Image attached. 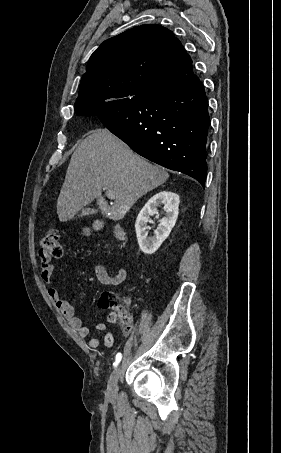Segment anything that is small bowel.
Segmentation results:
<instances>
[{"label": "small bowel", "mask_w": 281, "mask_h": 453, "mask_svg": "<svg viewBox=\"0 0 281 453\" xmlns=\"http://www.w3.org/2000/svg\"><path fill=\"white\" fill-rule=\"evenodd\" d=\"M92 270L97 280L104 285L118 286L124 283L127 278V270L125 268H120L115 273H109L103 266L94 264L92 265ZM40 271L41 278L47 288L48 296L55 303L57 309L68 320L71 327L78 332L81 338L88 339L89 348L97 349L100 345V338L96 336H89V331L87 328H85L83 319L76 315L75 309L72 304L61 297V294L54 283V269L51 263L46 260L42 261ZM122 306L125 308L127 305L124 303ZM116 319L117 316L114 313L109 316L110 323H114ZM106 329V323H97L96 330L98 332H104L106 331ZM103 344L106 348H112L114 346V335L108 332L105 333V335L103 336Z\"/></svg>", "instance_id": "obj_1"}]
</instances>
